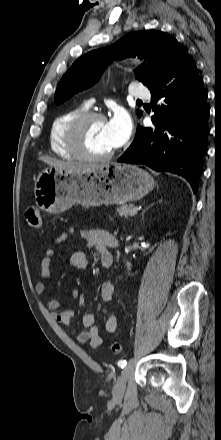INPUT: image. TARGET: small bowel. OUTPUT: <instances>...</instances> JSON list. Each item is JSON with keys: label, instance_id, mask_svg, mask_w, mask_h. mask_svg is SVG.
<instances>
[{"label": "small bowel", "instance_id": "obj_1", "mask_svg": "<svg viewBox=\"0 0 221 440\" xmlns=\"http://www.w3.org/2000/svg\"><path fill=\"white\" fill-rule=\"evenodd\" d=\"M74 230L69 229L63 232L59 237L55 239V243L63 242L69 234ZM82 237L85 240V245L88 249L96 250L102 262L107 258H112V254L109 252L108 248L112 247V242L116 239L108 232L100 229H89L81 231ZM55 255V250L53 248H48L45 252L44 257L41 260V277L43 281L38 282L35 285V290L37 294L44 295L46 293L45 281L49 280L51 277V261ZM71 265L76 269H85L88 265L87 256L84 251H75L70 258ZM72 297L78 298L79 291L73 290ZM114 294V285L111 280H106L100 287V299L107 303L111 301ZM47 307L51 311L53 317L59 323L69 326L72 323V319L75 315L72 309H62V303L58 299H50L47 302ZM82 323L86 327V330L80 332L77 336L80 343H87L92 348H98L102 345L103 339L100 334L99 329L95 326V314L92 312H87L82 317ZM117 329V318L115 315L111 314L107 317L105 321V330L108 333H114Z\"/></svg>", "mask_w": 221, "mask_h": 440}]
</instances>
